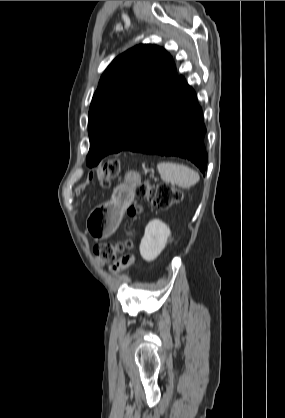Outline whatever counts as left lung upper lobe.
<instances>
[{
    "mask_svg": "<svg viewBox=\"0 0 285 418\" xmlns=\"http://www.w3.org/2000/svg\"><path fill=\"white\" fill-rule=\"evenodd\" d=\"M177 77L172 57L159 46L140 44L116 57L90 105L87 165L123 150Z\"/></svg>",
    "mask_w": 285,
    "mask_h": 418,
    "instance_id": "obj_1",
    "label": "left lung upper lobe"
}]
</instances>
